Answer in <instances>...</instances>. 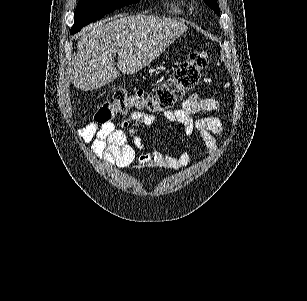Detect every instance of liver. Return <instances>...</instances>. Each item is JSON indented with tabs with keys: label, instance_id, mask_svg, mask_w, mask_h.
I'll return each instance as SVG.
<instances>
[{
	"label": "liver",
	"instance_id": "1",
	"mask_svg": "<svg viewBox=\"0 0 307 301\" xmlns=\"http://www.w3.org/2000/svg\"><path fill=\"white\" fill-rule=\"evenodd\" d=\"M188 26L182 20L149 14H116L82 28L70 78L80 90H94L148 66Z\"/></svg>",
	"mask_w": 307,
	"mask_h": 301
}]
</instances>
